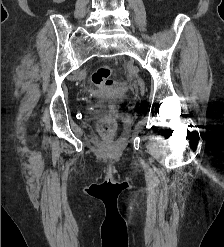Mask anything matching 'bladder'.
Instances as JSON below:
<instances>
[{
  "instance_id": "bladder-1",
  "label": "bladder",
  "mask_w": 224,
  "mask_h": 247,
  "mask_svg": "<svg viewBox=\"0 0 224 247\" xmlns=\"http://www.w3.org/2000/svg\"><path fill=\"white\" fill-rule=\"evenodd\" d=\"M129 97L126 93H122L119 98L111 101L113 104H115L117 107H124V105L127 103Z\"/></svg>"
}]
</instances>
